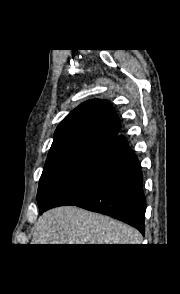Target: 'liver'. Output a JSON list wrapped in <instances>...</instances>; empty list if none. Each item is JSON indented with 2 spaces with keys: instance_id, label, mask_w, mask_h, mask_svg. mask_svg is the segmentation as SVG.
<instances>
[{
  "instance_id": "1",
  "label": "liver",
  "mask_w": 180,
  "mask_h": 294,
  "mask_svg": "<svg viewBox=\"0 0 180 294\" xmlns=\"http://www.w3.org/2000/svg\"><path fill=\"white\" fill-rule=\"evenodd\" d=\"M136 229L110 217L66 206L45 212L35 224L32 244H140Z\"/></svg>"
}]
</instances>
